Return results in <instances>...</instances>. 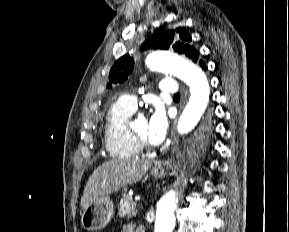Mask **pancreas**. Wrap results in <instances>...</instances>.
I'll return each mask as SVG.
<instances>
[{
	"mask_svg": "<svg viewBox=\"0 0 289 232\" xmlns=\"http://www.w3.org/2000/svg\"><path fill=\"white\" fill-rule=\"evenodd\" d=\"M136 213H137L136 203L133 201L132 197L128 195L124 196L120 200L118 215L120 217H124L127 215L128 218H130L136 216Z\"/></svg>",
	"mask_w": 289,
	"mask_h": 232,
	"instance_id": "cf45deb5",
	"label": "pancreas"
}]
</instances>
